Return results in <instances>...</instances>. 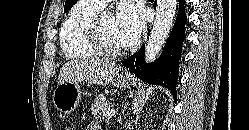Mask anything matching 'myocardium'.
<instances>
[{"instance_id": "obj_1", "label": "myocardium", "mask_w": 249, "mask_h": 130, "mask_svg": "<svg viewBox=\"0 0 249 130\" xmlns=\"http://www.w3.org/2000/svg\"><path fill=\"white\" fill-rule=\"evenodd\" d=\"M105 13L98 12L90 21L87 37L92 49L100 56L106 58H117L125 54L126 48L111 47L103 34L102 19Z\"/></svg>"}]
</instances>
